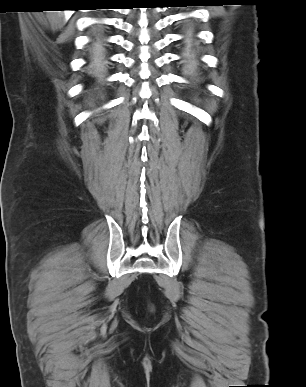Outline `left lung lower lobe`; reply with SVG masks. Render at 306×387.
Masks as SVG:
<instances>
[{
    "instance_id": "left-lung-lower-lobe-1",
    "label": "left lung lower lobe",
    "mask_w": 306,
    "mask_h": 387,
    "mask_svg": "<svg viewBox=\"0 0 306 387\" xmlns=\"http://www.w3.org/2000/svg\"><path fill=\"white\" fill-rule=\"evenodd\" d=\"M184 3V2H183ZM185 4V3H184ZM187 7V6H186ZM185 44H186V54H187V56L188 57H190V58H193V55H194V53H193V51H192V42H193V39L192 38H188V37H186L185 38Z\"/></svg>"
}]
</instances>
